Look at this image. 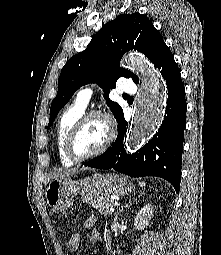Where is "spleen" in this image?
<instances>
[{
	"instance_id": "3e777b00",
	"label": "spleen",
	"mask_w": 221,
	"mask_h": 255,
	"mask_svg": "<svg viewBox=\"0 0 221 255\" xmlns=\"http://www.w3.org/2000/svg\"><path fill=\"white\" fill-rule=\"evenodd\" d=\"M139 184H140L141 186H145V183H144V182H139Z\"/></svg>"
}]
</instances>
